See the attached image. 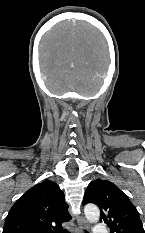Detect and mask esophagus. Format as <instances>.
Masks as SVG:
<instances>
[{
	"instance_id": "obj_1",
	"label": "esophagus",
	"mask_w": 145,
	"mask_h": 233,
	"mask_svg": "<svg viewBox=\"0 0 145 233\" xmlns=\"http://www.w3.org/2000/svg\"><path fill=\"white\" fill-rule=\"evenodd\" d=\"M78 225H79L78 227L74 228V233H83L84 229H88L89 228L88 222L83 217L79 218Z\"/></svg>"
}]
</instances>
